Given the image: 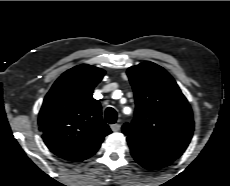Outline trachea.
<instances>
[{
  "label": "trachea",
  "instance_id": "3493384b",
  "mask_svg": "<svg viewBox=\"0 0 230 186\" xmlns=\"http://www.w3.org/2000/svg\"><path fill=\"white\" fill-rule=\"evenodd\" d=\"M105 120L109 124H114L117 120V113L112 107H108L105 111Z\"/></svg>",
  "mask_w": 230,
  "mask_h": 186
}]
</instances>
